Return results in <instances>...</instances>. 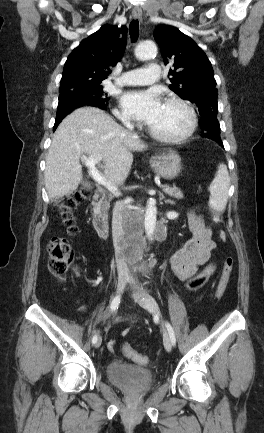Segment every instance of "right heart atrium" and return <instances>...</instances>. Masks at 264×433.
Segmentation results:
<instances>
[{
  "label": "right heart atrium",
  "instance_id": "1",
  "mask_svg": "<svg viewBox=\"0 0 264 433\" xmlns=\"http://www.w3.org/2000/svg\"><path fill=\"white\" fill-rule=\"evenodd\" d=\"M115 115L118 118V120L121 121L122 123L132 124V119L127 112L121 110H115Z\"/></svg>",
  "mask_w": 264,
  "mask_h": 433
}]
</instances>
